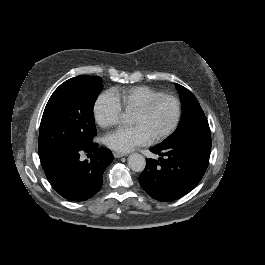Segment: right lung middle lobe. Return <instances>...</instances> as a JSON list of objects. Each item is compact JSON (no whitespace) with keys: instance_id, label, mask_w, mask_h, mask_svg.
<instances>
[{"instance_id":"dd1d6c3e","label":"right lung middle lobe","mask_w":265,"mask_h":265,"mask_svg":"<svg viewBox=\"0 0 265 265\" xmlns=\"http://www.w3.org/2000/svg\"><path fill=\"white\" fill-rule=\"evenodd\" d=\"M102 88L100 77L80 75L54 91L40 124L39 156L56 149L78 151L93 144V107Z\"/></svg>"}]
</instances>
